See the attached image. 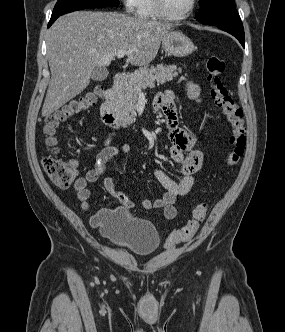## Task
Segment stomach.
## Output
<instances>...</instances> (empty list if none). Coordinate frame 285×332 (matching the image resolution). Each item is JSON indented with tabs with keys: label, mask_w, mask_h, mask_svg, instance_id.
<instances>
[{
	"label": "stomach",
	"mask_w": 285,
	"mask_h": 332,
	"mask_svg": "<svg viewBox=\"0 0 285 332\" xmlns=\"http://www.w3.org/2000/svg\"><path fill=\"white\" fill-rule=\"evenodd\" d=\"M162 47L169 55L175 57H185L190 55L195 49L193 42L178 31H170L162 41Z\"/></svg>",
	"instance_id": "1"
}]
</instances>
